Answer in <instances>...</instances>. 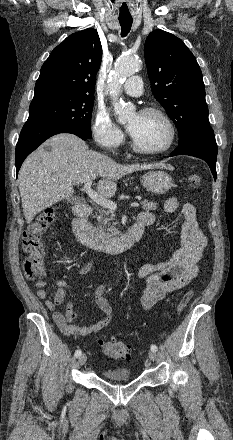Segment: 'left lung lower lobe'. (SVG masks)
<instances>
[{
    "instance_id": "0a47b994",
    "label": "left lung lower lobe",
    "mask_w": 233,
    "mask_h": 440,
    "mask_svg": "<svg viewBox=\"0 0 233 440\" xmlns=\"http://www.w3.org/2000/svg\"><path fill=\"white\" fill-rule=\"evenodd\" d=\"M190 155L203 159L210 167L216 180L217 144L212 129L196 134L179 144L170 156Z\"/></svg>"
}]
</instances>
